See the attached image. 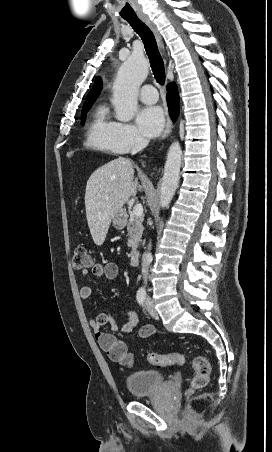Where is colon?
Instances as JSON below:
<instances>
[{
    "mask_svg": "<svg viewBox=\"0 0 272 452\" xmlns=\"http://www.w3.org/2000/svg\"><path fill=\"white\" fill-rule=\"evenodd\" d=\"M92 260L84 245L76 246L73 256V267L75 269H83L91 266ZM110 358L119 363H127L130 361V354L121 344L113 347ZM146 361L158 367H168L173 365H183L186 362V357L182 353L158 354L147 353ZM191 364L194 368L195 375L191 381V386L188 389V395L194 394L197 390L205 387L209 381L211 374V365L209 361L201 355H194L191 357Z\"/></svg>",
    "mask_w": 272,
    "mask_h": 452,
    "instance_id": "1",
    "label": "colon"
}]
</instances>
